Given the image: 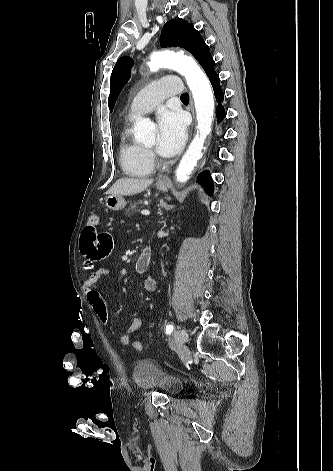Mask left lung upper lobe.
<instances>
[{
	"label": "left lung upper lobe",
	"mask_w": 333,
	"mask_h": 471,
	"mask_svg": "<svg viewBox=\"0 0 333 471\" xmlns=\"http://www.w3.org/2000/svg\"><path fill=\"white\" fill-rule=\"evenodd\" d=\"M161 47H181L189 51L195 59L202 64L211 55L209 46L194 28L193 24L183 19L170 20L164 24L161 31ZM132 60L121 57L114 66L111 74V90L109 95V108L112 112L115 101L130 78Z\"/></svg>",
	"instance_id": "1"
}]
</instances>
